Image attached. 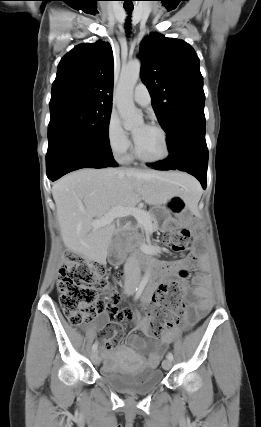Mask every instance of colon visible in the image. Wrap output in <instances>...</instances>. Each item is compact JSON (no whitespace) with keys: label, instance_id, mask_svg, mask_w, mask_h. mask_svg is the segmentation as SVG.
Instances as JSON below:
<instances>
[{"label":"colon","instance_id":"colon-1","mask_svg":"<svg viewBox=\"0 0 261 427\" xmlns=\"http://www.w3.org/2000/svg\"><path fill=\"white\" fill-rule=\"evenodd\" d=\"M190 241V232L181 229L165 236V242L176 252L186 249ZM186 272L180 273L179 279L169 280L161 290L153 295V304L148 312L147 333L155 338L174 326L184 314V294ZM113 280L120 283L122 273L116 272ZM109 287L105 267L88 261L80 254H65L57 280V291L61 308L73 326L91 321L98 313L106 311L107 301L100 296V291Z\"/></svg>","mask_w":261,"mask_h":427}]
</instances>
